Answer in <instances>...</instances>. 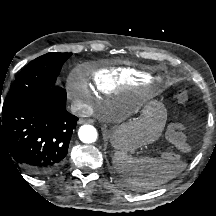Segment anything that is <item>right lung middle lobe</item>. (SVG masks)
<instances>
[{
    "mask_svg": "<svg viewBox=\"0 0 216 216\" xmlns=\"http://www.w3.org/2000/svg\"><path fill=\"white\" fill-rule=\"evenodd\" d=\"M70 56L71 53H47L26 65L11 86L3 103V109L32 94L54 87L62 65Z\"/></svg>",
    "mask_w": 216,
    "mask_h": 216,
    "instance_id": "right-lung-middle-lobe-1",
    "label": "right lung middle lobe"
}]
</instances>
